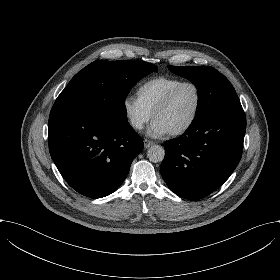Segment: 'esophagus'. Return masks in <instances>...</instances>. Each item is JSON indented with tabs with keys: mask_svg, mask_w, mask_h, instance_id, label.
Segmentation results:
<instances>
[{
	"mask_svg": "<svg viewBox=\"0 0 280 280\" xmlns=\"http://www.w3.org/2000/svg\"><path fill=\"white\" fill-rule=\"evenodd\" d=\"M143 142H144V147H145V148H149L151 145L154 144L153 141H150V140H148V139H144Z\"/></svg>",
	"mask_w": 280,
	"mask_h": 280,
	"instance_id": "1",
	"label": "esophagus"
}]
</instances>
